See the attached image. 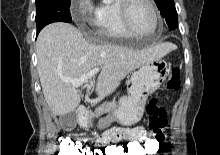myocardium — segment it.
Segmentation results:
<instances>
[{
	"label": "myocardium",
	"instance_id": "myocardium-1",
	"mask_svg": "<svg viewBox=\"0 0 220 155\" xmlns=\"http://www.w3.org/2000/svg\"><path fill=\"white\" fill-rule=\"evenodd\" d=\"M136 2H143L147 4L148 7L150 8L155 19V28L151 32H147V33L140 32L137 29H135L134 26L132 25V22L130 19V9H131V6ZM119 11H120L121 20L123 22L124 27L132 35H138V36L152 35L160 31L162 27V20L153 0H120Z\"/></svg>",
	"mask_w": 220,
	"mask_h": 155
}]
</instances>
